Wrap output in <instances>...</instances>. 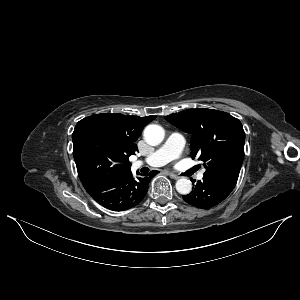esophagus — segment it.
Here are the masks:
<instances>
[{"mask_svg": "<svg viewBox=\"0 0 300 300\" xmlns=\"http://www.w3.org/2000/svg\"><path fill=\"white\" fill-rule=\"evenodd\" d=\"M169 176H170L172 179H174V180L180 179V176H178V175H176V174H174V173H169Z\"/></svg>", "mask_w": 300, "mask_h": 300, "instance_id": "34e87169", "label": "esophagus"}]
</instances>
